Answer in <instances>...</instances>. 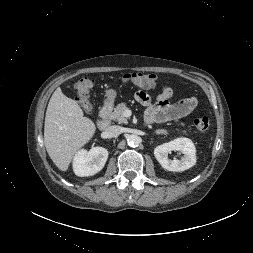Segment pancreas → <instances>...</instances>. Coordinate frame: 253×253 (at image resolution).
Wrapping results in <instances>:
<instances>
[{"label":"pancreas","mask_w":253,"mask_h":253,"mask_svg":"<svg viewBox=\"0 0 253 253\" xmlns=\"http://www.w3.org/2000/svg\"><path fill=\"white\" fill-rule=\"evenodd\" d=\"M128 107L126 103H120L116 106L112 114L110 115V118L112 120L118 121L119 123L127 124V118L124 116V111L127 110ZM166 132V131H165ZM183 133H186V131H182Z\"/></svg>","instance_id":"1"}]
</instances>
